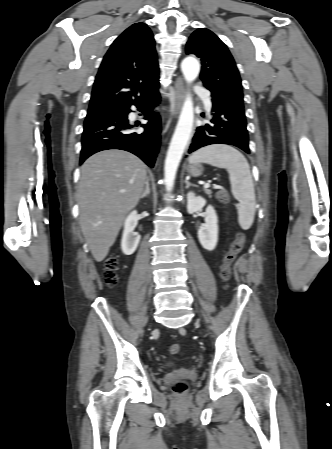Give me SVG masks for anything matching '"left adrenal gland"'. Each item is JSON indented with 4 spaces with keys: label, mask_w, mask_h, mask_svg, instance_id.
I'll list each match as a JSON object with an SVG mask.
<instances>
[{
    "label": "left adrenal gland",
    "mask_w": 332,
    "mask_h": 449,
    "mask_svg": "<svg viewBox=\"0 0 332 449\" xmlns=\"http://www.w3.org/2000/svg\"><path fill=\"white\" fill-rule=\"evenodd\" d=\"M186 189H188L190 186H196L195 184L190 183L188 180H185Z\"/></svg>",
    "instance_id": "a2214340"
}]
</instances>
